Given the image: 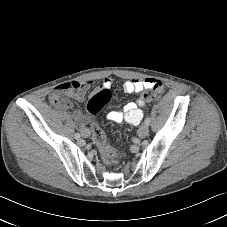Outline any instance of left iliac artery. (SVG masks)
<instances>
[{
  "label": "left iliac artery",
  "instance_id": "1",
  "mask_svg": "<svg viewBox=\"0 0 227 227\" xmlns=\"http://www.w3.org/2000/svg\"><path fill=\"white\" fill-rule=\"evenodd\" d=\"M144 123H145L146 125H149V124H150V118H149V116L145 118Z\"/></svg>",
  "mask_w": 227,
  "mask_h": 227
}]
</instances>
